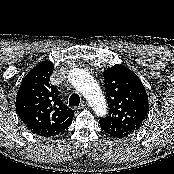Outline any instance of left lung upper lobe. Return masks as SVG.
I'll use <instances>...</instances> for the list:
<instances>
[{"instance_id":"obj_1","label":"left lung upper lobe","mask_w":174,"mask_h":174,"mask_svg":"<svg viewBox=\"0 0 174 174\" xmlns=\"http://www.w3.org/2000/svg\"><path fill=\"white\" fill-rule=\"evenodd\" d=\"M109 114L100 118L102 129L122 138L136 132L148 111V95L138 76L124 65L104 70Z\"/></svg>"}]
</instances>
